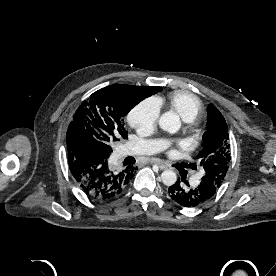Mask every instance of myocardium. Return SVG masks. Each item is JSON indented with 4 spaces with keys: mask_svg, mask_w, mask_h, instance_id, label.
Wrapping results in <instances>:
<instances>
[{
    "mask_svg": "<svg viewBox=\"0 0 276 276\" xmlns=\"http://www.w3.org/2000/svg\"><path fill=\"white\" fill-rule=\"evenodd\" d=\"M187 131L190 136H194L196 134V132L198 131L197 123L194 120H191L190 124L187 127Z\"/></svg>",
    "mask_w": 276,
    "mask_h": 276,
    "instance_id": "obj_1",
    "label": "myocardium"
}]
</instances>
